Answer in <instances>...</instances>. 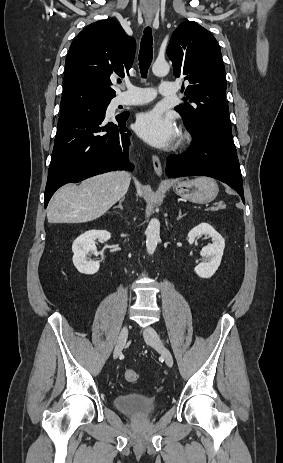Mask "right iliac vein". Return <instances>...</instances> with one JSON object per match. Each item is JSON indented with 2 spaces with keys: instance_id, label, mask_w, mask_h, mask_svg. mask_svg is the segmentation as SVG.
I'll use <instances>...</instances> for the list:
<instances>
[{
  "instance_id": "obj_1",
  "label": "right iliac vein",
  "mask_w": 283,
  "mask_h": 463,
  "mask_svg": "<svg viewBox=\"0 0 283 463\" xmlns=\"http://www.w3.org/2000/svg\"><path fill=\"white\" fill-rule=\"evenodd\" d=\"M127 337H128V326L127 325H124L123 328L121 329L120 333H119V336L117 338V341H116V344H115V348H114V352H113V358L116 359L118 358V356L121 354L124 346H125V343L127 341Z\"/></svg>"
}]
</instances>
